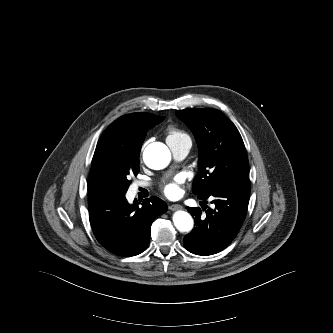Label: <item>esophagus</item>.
<instances>
[{
  "label": "esophagus",
  "instance_id": "obj_1",
  "mask_svg": "<svg viewBox=\"0 0 333 333\" xmlns=\"http://www.w3.org/2000/svg\"><path fill=\"white\" fill-rule=\"evenodd\" d=\"M169 209L172 211H175V210H181V209H183V207L180 204H173V205L169 206Z\"/></svg>",
  "mask_w": 333,
  "mask_h": 333
}]
</instances>
